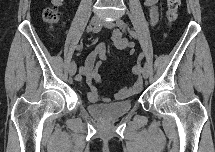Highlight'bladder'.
I'll use <instances>...</instances> for the list:
<instances>
[{
  "label": "bladder",
  "instance_id": "obj_1",
  "mask_svg": "<svg viewBox=\"0 0 215 152\" xmlns=\"http://www.w3.org/2000/svg\"><path fill=\"white\" fill-rule=\"evenodd\" d=\"M132 106L133 102L131 100L114 102L106 105L90 104L88 106V111L91 115L100 120H110L127 114L132 109Z\"/></svg>",
  "mask_w": 215,
  "mask_h": 152
}]
</instances>
